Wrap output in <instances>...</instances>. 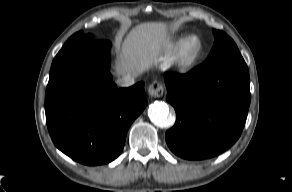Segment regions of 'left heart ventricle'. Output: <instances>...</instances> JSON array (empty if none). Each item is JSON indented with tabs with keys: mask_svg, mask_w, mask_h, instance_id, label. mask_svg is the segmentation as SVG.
Masks as SVG:
<instances>
[{
	"mask_svg": "<svg viewBox=\"0 0 292 192\" xmlns=\"http://www.w3.org/2000/svg\"><path fill=\"white\" fill-rule=\"evenodd\" d=\"M196 47V43L194 41H192L189 46H188V51L191 52L195 49Z\"/></svg>",
	"mask_w": 292,
	"mask_h": 192,
	"instance_id": "b2bd125f",
	"label": "left heart ventricle"
}]
</instances>
